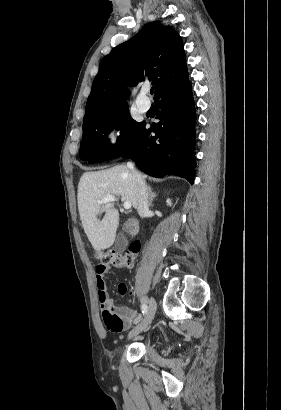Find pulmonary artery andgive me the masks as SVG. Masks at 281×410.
Masks as SVG:
<instances>
[{
  "label": "pulmonary artery",
  "instance_id": "e3ab8cb5",
  "mask_svg": "<svg viewBox=\"0 0 281 410\" xmlns=\"http://www.w3.org/2000/svg\"><path fill=\"white\" fill-rule=\"evenodd\" d=\"M148 86L144 85L137 96L136 105L141 112H146L149 110L151 103L150 100L146 97L148 92Z\"/></svg>",
  "mask_w": 281,
  "mask_h": 410
}]
</instances>
